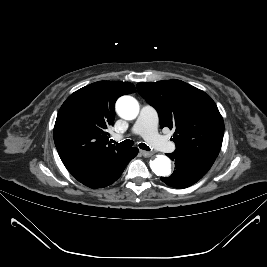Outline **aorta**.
<instances>
[{"mask_svg":"<svg viewBox=\"0 0 267 267\" xmlns=\"http://www.w3.org/2000/svg\"><path fill=\"white\" fill-rule=\"evenodd\" d=\"M138 101L129 95L120 97L116 102V112L125 120H134L139 114ZM150 168L157 176H169L171 174V163L169 158L157 155L150 161Z\"/></svg>","mask_w":267,"mask_h":267,"instance_id":"1","label":"aorta"}]
</instances>
